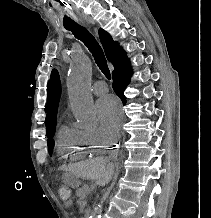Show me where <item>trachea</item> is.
<instances>
[{
    "mask_svg": "<svg viewBox=\"0 0 211 218\" xmlns=\"http://www.w3.org/2000/svg\"><path fill=\"white\" fill-rule=\"evenodd\" d=\"M65 28L66 30L72 32L74 37H76L78 40H81V42L84 43V45L92 53L95 62L101 70V72L105 75V77L108 80H110L111 74L107 65L106 57L101 46L93 37V35H91V33H89L88 30L85 27H82L81 25L67 26Z\"/></svg>",
    "mask_w": 211,
    "mask_h": 218,
    "instance_id": "trachea-1",
    "label": "trachea"
}]
</instances>
